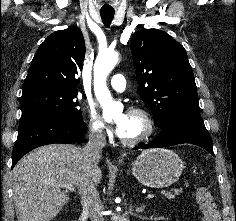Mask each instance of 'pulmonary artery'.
I'll return each instance as SVG.
<instances>
[{
  "label": "pulmonary artery",
  "instance_id": "obj_1",
  "mask_svg": "<svg viewBox=\"0 0 236 221\" xmlns=\"http://www.w3.org/2000/svg\"><path fill=\"white\" fill-rule=\"evenodd\" d=\"M110 86L117 92H123L126 89V79L122 74H115L110 79Z\"/></svg>",
  "mask_w": 236,
  "mask_h": 221
}]
</instances>
